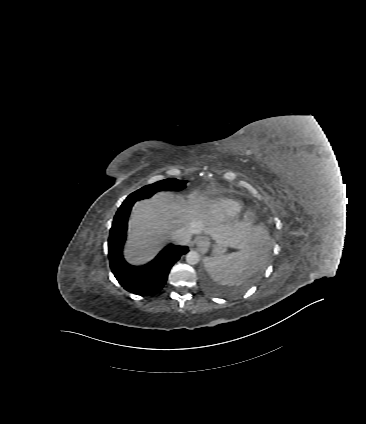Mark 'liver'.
I'll return each instance as SVG.
<instances>
[{
  "mask_svg": "<svg viewBox=\"0 0 366 424\" xmlns=\"http://www.w3.org/2000/svg\"><path fill=\"white\" fill-rule=\"evenodd\" d=\"M187 228L206 233L225 247L244 249L267 242L266 231L251 223L229 222L201 194L187 198L160 192L151 199L137 202L129 219L125 259L134 266L149 263L170 239L171 234Z\"/></svg>",
  "mask_w": 366,
  "mask_h": 424,
  "instance_id": "6515ba94",
  "label": "liver"
}]
</instances>
